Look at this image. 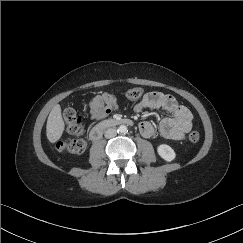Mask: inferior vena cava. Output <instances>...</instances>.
Segmentation results:
<instances>
[{
	"label": "inferior vena cava",
	"instance_id": "obj_1",
	"mask_svg": "<svg viewBox=\"0 0 243 243\" xmlns=\"http://www.w3.org/2000/svg\"><path fill=\"white\" fill-rule=\"evenodd\" d=\"M117 135V131L114 128H109L105 132V138L110 139Z\"/></svg>",
	"mask_w": 243,
	"mask_h": 243
}]
</instances>
